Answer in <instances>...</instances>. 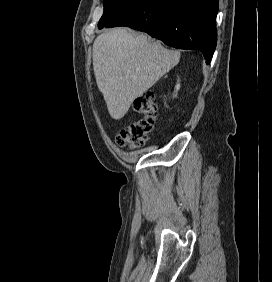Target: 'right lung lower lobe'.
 Here are the masks:
<instances>
[{"label": "right lung lower lobe", "instance_id": "1", "mask_svg": "<svg viewBox=\"0 0 272 282\" xmlns=\"http://www.w3.org/2000/svg\"><path fill=\"white\" fill-rule=\"evenodd\" d=\"M218 0H136L104 27L128 26L178 49H198L209 64L217 43Z\"/></svg>", "mask_w": 272, "mask_h": 282}]
</instances>
